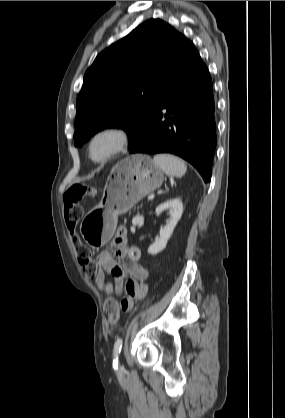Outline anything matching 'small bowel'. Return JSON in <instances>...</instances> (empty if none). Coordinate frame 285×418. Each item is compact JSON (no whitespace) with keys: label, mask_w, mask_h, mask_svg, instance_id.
Masks as SVG:
<instances>
[{"label":"small bowel","mask_w":285,"mask_h":418,"mask_svg":"<svg viewBox=\"0 0 285 418\" xmlns=\"http://www.w3.org/2000/svg\"><path fill=\"white\" fill-rule=\"evenodd\" d=\"M111 249L116 250L118 259L128 258L133 263V266H121L109 251H103L97 256L100 273L95 282L100 286L104 285V291L109 297L123 293L121 308L128 311L135 299L143 298L148 292V285L145 283V280L148 278V269L140 263V250L127 247L124 231H118L111 244ZM104 272L109 274L116 283L113 284L111 281L104 282ZM127 274H130L131 278L125 279ZM128 303L130 306H127Z\"/></svg>","instance_id":"small-bowel-1"}]
</instances>
